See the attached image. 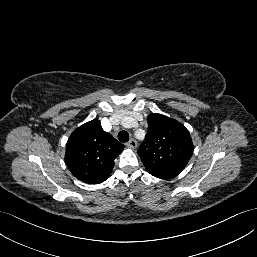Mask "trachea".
<instances>
[{
    "label": "trachea",
    "mask_w": 257,
    "mask_h": 257,
    "mask_svg": "<svg viewBox=\"0 0 257 257\" xmlns=\"http://www.w3.org/2000/svg\"><path fill=\"white\" fill-rule=\"evenodd\" d=\"M118 139L119 141L125 143L129 140V134L126 131H120L118 133Z\"/></svg>",
    "instance_id": "obj_1"
}]
</instances>
